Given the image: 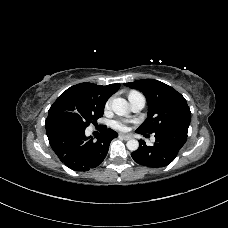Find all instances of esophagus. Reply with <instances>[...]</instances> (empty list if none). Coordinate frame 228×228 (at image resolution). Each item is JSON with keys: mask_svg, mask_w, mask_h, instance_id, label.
I'll list each match as a JSON object with an SVG mask.
<instances>
[{"mask_svg": "<svg viewBox=\"0 0 228 228\" xmlns=\"http://www.w3.org/2000/svg\"><path fill=\"white\" fill-rule=\"evenodd\" d=\"M119 137L124 139V140H129L132 138L130 135H125V134H120Z\"/></svg>", "mask_w": 228, "mask_h": 228, "instance_id": "34e87169", "label": "esophagus"}]
</instances>
